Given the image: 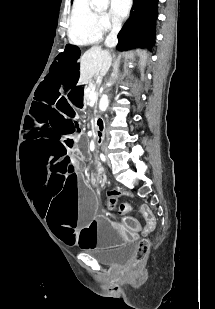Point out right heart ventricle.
Instances as JSON below:
<instances>
[{
	"instance_id": "right-heart-ventricle-1",
	"label": "right heart ventricle",
	"mask_w": 215,
	"mask_h": 309,
	"mask_svg": "<svg viewBox=\"0 0 215 309\" xmlns=\"http://www.w3.org/2000/svg\"><path fill=\"white\" fill-rule=\"evenodd\" d=\"M68 40L72 45L84 46L88 42H100L104 33L98 27L94 14H88V9H75L68 24Z\"/></svg>"
}]
</instances>
